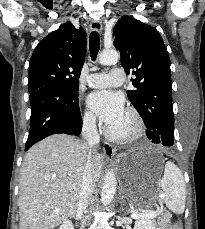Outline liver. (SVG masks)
<instances>
[{
	"mask_svg": "<svg viewBox=\"0 0 205 229\" xmlns=\"http://www.w3.org/2000/svg\"><path fill=\"white\" fill-rule=\"evenodd\" d=\"M88 144L56 134L33 145L26 153L19 183L20 229H54L73 217L78 208ZM95 181L102 157L92 152Z\"/></svg>",
	"mask_w": 205,
	"mask_h": 229,
	"instance_id": "liver-1",
	"label": "liver"
}]
</instances>
